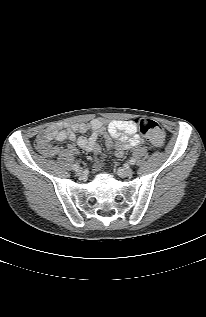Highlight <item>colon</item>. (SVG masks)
I'll use <instances>...</instances> for the list:
<instances>
[{"label":"colon","mask_w":206,"mask_h":317,"mask_svg":"<svg viewBox=\"0 0 206 317\" xmlns=\"http://www.w3.org/2000/svg\"><path fill=\"white\" fill-rule=\"evenodd\" d=\"M137 127L141 133L155 146H159L164 140V130L159 123L152 119L141 118L135 121ZM38 148L46 149L48 143L42 139H38L36 142ZM98 166L101 165L102 156L98 155Z\"/></svg>","instance_id":"5ec220e1"}]
</instances>
